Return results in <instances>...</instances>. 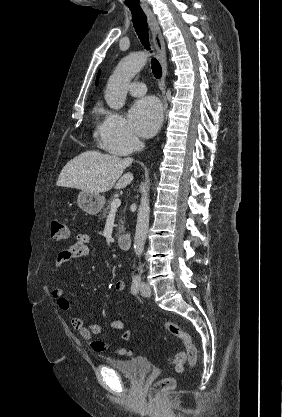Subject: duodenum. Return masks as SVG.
<instances>
[{"instance_id":"410a0bca","label":"duodenum","mask_w":282,"mask_h":417,"mask_svg":"<svg viewBox=\"0 0 282 417\" xmlns=\"http://www.w3.org/2000/svg\"><path fill=\"white\" fill-rule=\"evenodd\" d=\"M131 237L128 234H122L117 236V245L122 250H127L129 248Z\"/></svg>"}]
</instances>
